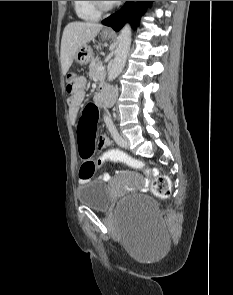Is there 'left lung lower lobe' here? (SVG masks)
<instances>
[{"mask_svg": "<svg viewBox=\"0 0 233 295\" xmlns=\"http://www.w3.org/2000/svg\"><path fill=\"white\" fill-rule=\"evenodd\" d=\"M151 2L139 1L133 4L132 1H126L118 12L103 20L102 24L112 27L115 31H119L127 21L131 23L132 27H135Z\"/></svg>", "mask_w": 233, "mask_h": 295, "instance_id": "1", "label": "left lung lower lobe"}]
</instances>
